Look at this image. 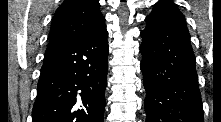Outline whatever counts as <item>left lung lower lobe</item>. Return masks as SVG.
Returning a JSON list of instances; mask_svg holds the SVG:
<instances>
[{
  "label": "left lung lower lobe",
  "mask_w": 221,
  "mask_h": 122,
  "mask_svg": "<svg viewBox=\"0 0 221 122\" xmlns=\"http://www.w3.org/2000/svg\"><path fill=\"white\" fill-rule=\"evenodd\" d=\"M141 32V71L146 122H203L195 57L185 18L169 0H160Z\"/></svg>",
  "instance_id": "obj_1"
}]
</instances>
